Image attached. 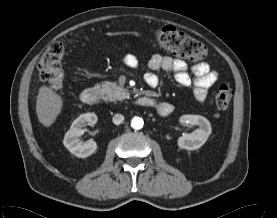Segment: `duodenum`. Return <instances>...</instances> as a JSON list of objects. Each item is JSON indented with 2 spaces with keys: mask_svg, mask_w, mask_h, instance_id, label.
I'll list each match as a JSON object with an SVG mask.
<instances>
[{
  "mask_svg": "<svg viewBox=\"0 0 277 218\" xmlns=\"http://www.w3.org/2000/svg\"><path fill=\"white\" fill-rule=\"evenodd\" d=\"M80 99L86 105H94L99 101V91L96 88H86L81 92ZM137 103L145 107H157V111H162L163 116L171 113V105L164 102L157 103L151 97L141 96L137 99Z\"/></svg>",
  "mask_w": 277,
  "mask_h": 218,
  "instance_id": "410a0bca",
  "label": "duodenum"
}]
</instances>
